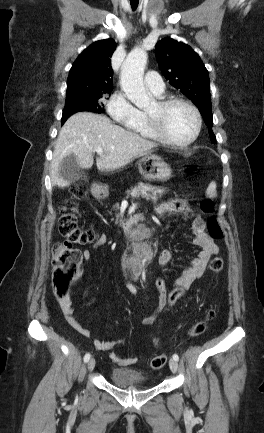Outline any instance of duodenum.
Segmentation results:
<instances>
[{
	"mask_svg": "<svg viewBox=\"0 0 264 433\" xmlns=\"http://www.w3.org/2000/svg\"><path fill=\"white\" fill-rule=\"evenodd\" d=\"M93 194L95 197L101 198L103 195V192L98 188H94ZM140 219L141 218L138 215H136L133 218H131L128 222H125L122 225L123 233L130 234L133 231L134 226H136L139 223ZM145 232L148 235L150 234V230H146ZM153 253H154L153 249L147 245L141 244L137 247V249L135 250V256L139 257L140 260H139L138 265L133 269L134 274H139L142 271V269L144 267L142 265V261L143 260H146V261L150 260L153 256Z\"/></svg>",
	"mask_w": 264,
	"mask_h": 433,
	"instance_id": "1",
	"label": "duodenum"
}]
</instances>
